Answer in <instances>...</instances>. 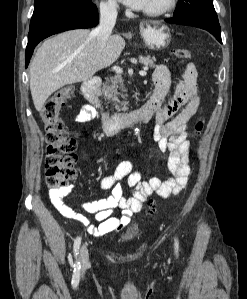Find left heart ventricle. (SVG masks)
<instances>
[{"mask_svg": "<svg viewBox=\"0 0 247 299\" xmlns=\"http://www.w3.org/2000/svg\"><path fill=\"white\" fill-rule=\"evenodd\" d=\"M164 0H149L145 8H150L159 5Z\"/></svg>", "mask_w": 247, "mask_h": 299, "instance_id": "1", "label": "left heart ventricle"}]
</instances>
